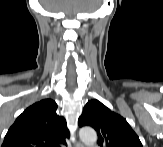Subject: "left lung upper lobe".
Segmentation results:
<instances>
[{"label":"left lung upper lobe","mask_w":163,"mask_h":147,"mask_svg":"<svg viewBox=\"0 0 163 147\" xmlns=\"http://www.w3.org/2000/svg\"><path fill=\"white\" fill-rule=\"evenodd\" d=\"M78 124L80 127H93L98 134V144L102 147H142L126 119L96 99L85 105Z\"/></svg>","instance_id":"5c2ea615"}]
</instances>
